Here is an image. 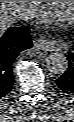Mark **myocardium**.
<instances>
[{"label": "myocardium", "mask_w": 74, "mask_h": 122, "mask_svg": "<svg viewBox=\"0 0 74 122\" xmlns=\"http://www.w3.org/2000/svg\"><path fill=\"white\" fill-rule=\"evenodd\" d=\"M56 2L57 1H46L48 7H50L51 9L55 8ZM67 18L68 19H73L74 18V2H73L72 9L68 12Z\"/></svg>", "instance_id": "myocardium-1"}]
</instances>
